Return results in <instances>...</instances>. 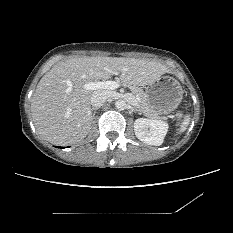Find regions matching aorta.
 <instances>
[{
    "mask_svg": "<svg viewBox=\"0 0 233 233\" xmlns=\"http://www.w3.org/2000/svg\"><path fill=\"white\" fill-rule=\"evenodd\" d=\"M115 107H116V109H118V110H124V109H126V107H127V103H126L125 100L120 99V100H117V101L115 102Z\"/></svg>",
    "mask_w": 233,
    "mask_h": 233,
    "instance_id": "obj_1",
    "label": "aorta"
}]
</instances>
